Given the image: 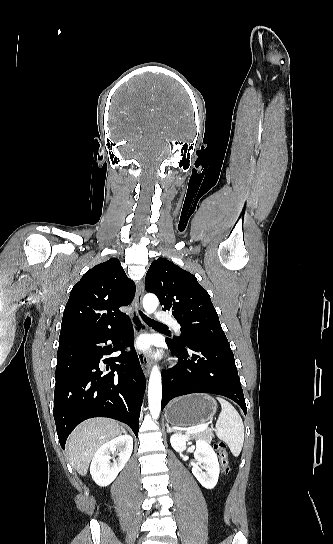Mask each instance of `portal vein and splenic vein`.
Wrapping results in <instances>:
<instances>
[{
  "instance_id": "portal-vein-and-splenic-vein-1",
  "label": "portal vein and splenic vein",
  "mask_w": 333,
  "mask_h": 544,
  "mask_svg": "<svg viewBox=\"0 0 333 544\" xmlns=\"http://www.w3.org/2000/svg\"><path fill=\"white\" fill-rule=\"evenodd\" d=\"M207 428H208V423H205L203 425L197 426V427L189 430L188 432H191V433L202 432V431H205Z\"/></svg>"
}]
</instances>
